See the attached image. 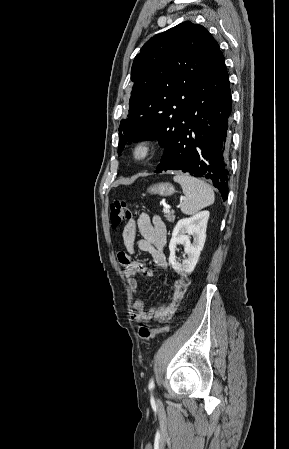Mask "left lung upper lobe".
Instances as JSON below:
<instances>
[{
    "mask_svg": "<svg viewBox=\"0 0 289 449\" xmlns=\"http://www.w3.org/2000/svg\"><path fill=\"white\" fill-rule=\"evenodd\" d=\"M218 50L217 41L205 27L188 21L144 44L131 69L134 86L128 117L120 122L119 153L125 140L159 137L165 147L163 157L166 155L195 86Z\"/></svg>",
    "mask_w": 289,
    "mask_h": 449,
    "instance_id": "5c2ea615",
    "label": "left lung upper lobe"
}]
</instances>
